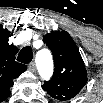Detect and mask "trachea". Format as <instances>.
Masks as SVG:
<instances>
[{
    "instance_id": "trachea-1",
    "label": "trachea",
    "mask_w": 103,
    "mask_h": 103,
    "mask_svg": "<svg viewBox=\"0 0 103 103\" xmlns=\"http://www.w3.org/2000/svg\"><path fill=\"white\" fill-rule=\"evenodd\" d=\"M32 58H33L32 49H31V47L27 46V47H24L20 51V53L17 57V61L27 64L32 61Z\"/></svg>"
}]
</instances>
